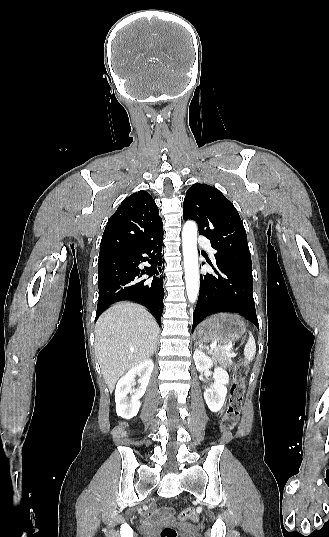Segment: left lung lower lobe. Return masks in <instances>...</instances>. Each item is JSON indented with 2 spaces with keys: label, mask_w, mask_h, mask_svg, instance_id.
<instances>
[{
  "label": "left lung lower lobe",
  "mask_w": 329,
  "mask_h": 537,
  "mask_svg": "<svg viewBox=\"0 0 329 537\" xmlns=\"http://www.w3.org/2000/svg\"><path fill=\"white\" fill-rule=\"evenodd\" d=\"M210 265L215 275L207 273L200 276L192 330L204 317L220 311L239 313L259 327L253 299L252 270L220 259H216L215 267Z\"/></svg>",
  "instance_id": "1"
}]
</instances>
